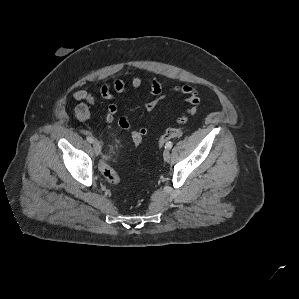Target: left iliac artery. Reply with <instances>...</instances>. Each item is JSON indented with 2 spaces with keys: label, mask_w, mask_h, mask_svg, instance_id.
<instances>
[{
  "label": "left iliac artery",
  "mask_w": 299,
  "mask_h": 299,
  "mask_svg": "<svg viewBox=\"0 0 299 299\" xmlns=\"http://www.w3.org/2000/svg\"><path fill=\"white\" fill-rule=\"evenodd\" d=\"M173 146L172 142H167L165 148L171 149Z\"/></svg>",
  "instance_id": "left-iliac-artery-1"
}]
</instances>
